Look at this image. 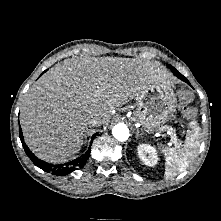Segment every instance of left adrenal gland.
Returning a JSON list of instances; mask_svg holds the SVG:
<instances>
[{"mask_svg":"<svg viewBox=\"0 0 221 221\" xmlns=\"http://www.w3.org/2000/svg\"><path fill=\"white\" fill-rule=\"evenodd\" d=\"M142 134H140L139 130H136V138L140 137Z\"/></svg>","mask_w":221,"mask_h":221,"instance_id":"1","label":"left adrenal gland"}]
</instances>
